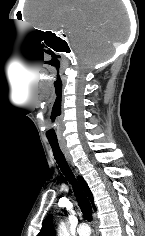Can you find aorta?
Segmentation results:
<instances>
[{
	"instance_id": "762f6f07",
	"label": "aorta",
	"mask_w": 145,
	"mask_h": 236,
	"mask_svg": "<svg viewBox=\"0 0 145 236\" xmlns=\"http://www.w3.org/2000/svg\"><path fill=\"white\" fill-rule=\"evenodd\" d=\"M59 236H70L69 231L64 223L59 226Z\"/></svg>"
}]
</instances>
